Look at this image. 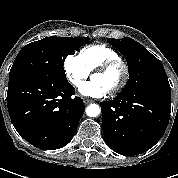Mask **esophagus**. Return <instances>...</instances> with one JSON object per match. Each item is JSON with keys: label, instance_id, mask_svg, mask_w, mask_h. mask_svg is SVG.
I'll use <instances>...</instances> for the list:
<instances>
[{"label": "esophagus", "instance_id": "34e87169", "mask_svg": "<svg viewBox=\"0 0 178 178\" xmlns=\"http://www.w3.org/2000/svg\"><path fill=\"white\" fill-rule=\"evenodd\" d=\"M92 102H93L92 99H89V98H85V99H84V103H85V104H89V103H92Z\"/></svg>", "mask_w": 178, "mask_h": 178}]
</instances>
